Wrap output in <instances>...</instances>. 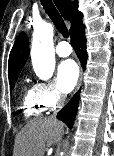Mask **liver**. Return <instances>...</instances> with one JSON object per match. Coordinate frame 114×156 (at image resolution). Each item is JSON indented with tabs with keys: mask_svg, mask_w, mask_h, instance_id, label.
Here are the masks:
<instances>
[{
	"mask_svg": "<svg viewBox=\"0 0 114 156\" xmlns=\"http://www.w3.org/2000/svg\"><path fill=\"white\" fill-rule=\"evenodd\" d=\"M64 125L57 119L29 121L17 134L13 156H44L45 150L60 141Z\"/></svg>",
	"mask_w": 114,
	"mask_h": 156,
	"instance_id": "6515ba94",
	"label": "liver"
}]
</instances>
